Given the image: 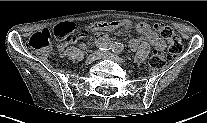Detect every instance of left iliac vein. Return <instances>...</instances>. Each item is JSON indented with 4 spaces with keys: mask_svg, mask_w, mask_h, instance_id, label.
Returning a JSON list of instances; mask_svg holds the SVG:
<instances>
[{
    "mask_svg": "<svg viewBox=\"0 0 207 123\" xmlns=\"http://www.w3.org/2000/svg\"><path fill=\"white\" fill-rule=\"evenodd\" d=\"M100 58L111 59L117 63H124L125 62V60L123 58H121L111 52H102Z\"/></svg>",
    "mask_w": 207,
    "mask_h": 123,
    "instance_id": "1",
    "label": "left iliac vein"
}]
</instances>
